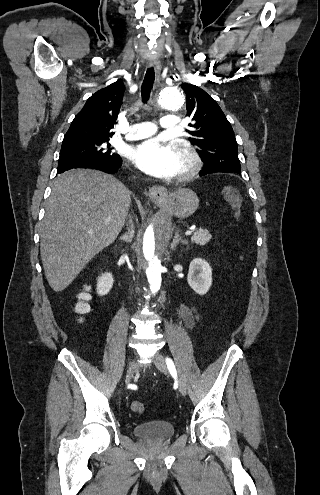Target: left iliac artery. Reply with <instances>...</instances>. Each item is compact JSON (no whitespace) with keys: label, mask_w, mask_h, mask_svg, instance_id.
Returning <instances> with one entry per match:
<instances>
[{"label":"left iliac artery","mask_w":320,"mask_h":495,"mask_svg":"<svg viewBox=\"0 0 320 495\" xmlns=\"http://www.w3.org/2000/svg\"><path fill=\"white\" fill-rule=\"evenodd\" d=\"M166 364H167L171 374L176 376V369H175V365H174L173 361L170 358H166Z\"/></svg>","instance_id":"1"}]
</instances>
